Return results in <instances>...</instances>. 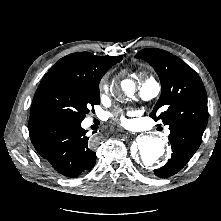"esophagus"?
Returning a JSON list of instances; mask_svg holds the SVG:
<instances>
[{"instance_id":"1","label":"esophagus","mask_w":221,"mask_h":221,"mask_svg":"<svg viewBox=\"0 0 221 221\" xmlns=\"http://www.w3.org/2000/svg\"><path fill=\"white\" fill-rule=\"evenodd\" d=\"M128 135H130V132L125 131L124 136H128Z\"/></svg>"}]
</instances>
